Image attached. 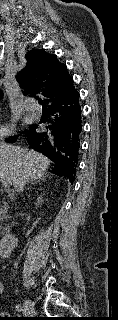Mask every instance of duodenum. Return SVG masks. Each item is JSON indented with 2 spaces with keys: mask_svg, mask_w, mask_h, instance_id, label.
Here are the masks:
<instances>
[{
  "mask_svg": "<svg viewBox=\"0 0 118 320\" xmlns=\"http://www.w3.org/2000/svg\"><path fill=\"white\" fill-rule=\"evenodd\" d=\"M17 243V237L11 232H6L0 241V257H8Z\"/></svg>",
  "mask_w": 118,
  "mask_h": 320,
  "instance_id": "410a0bca",
  "label": "duodenum"
}]
</instances>
